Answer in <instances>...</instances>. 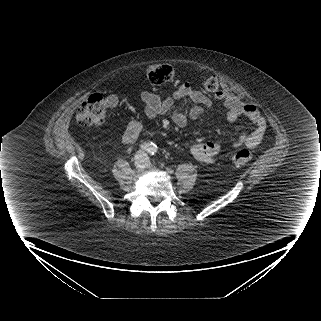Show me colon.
Masks as SVG:
<instances>
[{
	"label": "colon",
	"instance_id": "obj_1",
	"mask_svg": "<svg viewBox=\"0 0 321 321\" xmlns=\"http://www.w3.org/2000/svg\"><path fill=\"white\" fill-rule=\"evenodd\" d=\"M146 75L148 80L153 84H162L172 79L174 69L169 64H156L150 66ZM203 87L207 92L215 93L219 90V81L217 77L207 78ZM107 113L106 101L99 93L90 95L79 107L76 113V121L80 126H100L105 122ZM252 159V154L248 150H239L235 152L230 161L236 166L247 165Z\"/></svg>",
	"mask_w": 321,
	"mask_h": 321
}]
</instances>
